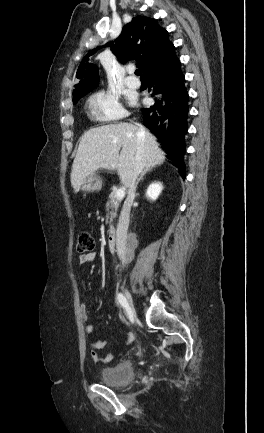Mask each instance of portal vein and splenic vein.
I'll return each instance as SVG.
<instances>
[{
  "label": "portal vein and splenic vein",
  "mask_w": 264,
  "mask_h": 433,
  "mask_svg": "<svg viewBox=\"0 0 264 433\" xmlns=\"http://www.w3.org/2000/svg\"><path fill=\"white\" fill-rule=\"evenodd\" d=\"M116 197L118 199H123L125 197V188H120L116 191Z\"/></svg>",
  "instance_id": "18ae733b"
}]
</instances>
